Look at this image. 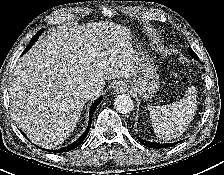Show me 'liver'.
I'll use <instances>...</instances> for the list:
<instances>
[{
    "label": "liver",
    "instance_id": "6515ba94",
    "mask_svg": "<svg viewBox=\"0 0 224 175\" xmlns=\"http://www.w3.org/2000/svg\"><path fill=\"white\" fill-rule=\"evenodd\" d=\"M135 73L132 34L125 26L100 21L52 30L15 66L9 89L13 119L32 142L53 148L76 127L88 100L86 87L101 92L105 80Z\"/></svg>",
    "mask_w": 224,
    "mask_h": 175
}]
</instances>
